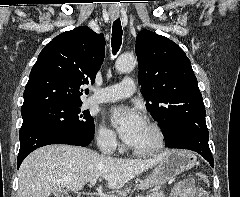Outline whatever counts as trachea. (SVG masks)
I'll return each mask as SVG.
<instances>
[{"mask_svg":"<svg viewBox=\"0 0 240 197\" xmlns=\"http://www.w3.org/2000/svg\"><path fill=\"white\" fill-rule=\"evenodd\" d=\"M122 43V26H121V21L120 19H116L113 22V27H112V52L115 55L121 46Z\"/></svg>","mask_w":240,"mask_h":197,"instance_id":"3493384b","label":"trachea"}]
</instances>
